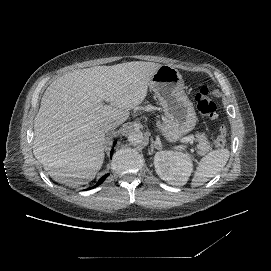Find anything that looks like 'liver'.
Here are the masks:
<instances>
[{
  "instance_id": "1",
  "label": "liver",
  "mask_w": 271,
  "mask_h": 271,
  "mask_svg": "<svg viewBox=\"0 0 271 271\" xmlns=\"http://www.w3.org/2000/svg\"><path fill=\"white\" fill-rule=\"evenodd\" d=\"M161 66L144 61L95 66L68 72L47 87L34 119L33 154L53 180L76 186L95 178L105 156L101 125L124 123Z\"/></svg>"
}]
</instances>
